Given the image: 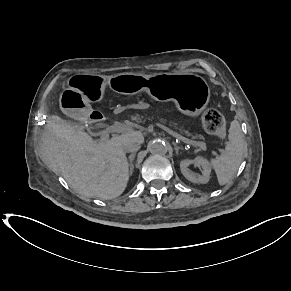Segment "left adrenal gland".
<instances>
[{"mask_svg": "<svg viewBox=\"0 0 291 291\" xmlns=\"http://www.w3.org/2000/svg\"><path fill=\"white\" fill-rule=\"evenodd\" d=\"M173 145L175 146L176 154H178V151L181 149V147H179L175 142H173Z\"/></svg>", "mask_w": 291, "mask_h": 291, "instance_id": "left-adrenal-gland-1", "label": "left adrenal gland"}]
</instances>
